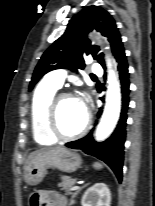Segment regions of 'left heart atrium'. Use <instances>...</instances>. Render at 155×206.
<instances>
[{
	"instance_id": "left-heart-atrium-1",
	"label": "left heart atrium",
	"mask_w": 155,
	"mask_h": 206,
	"mask_svg": "<svg viewBox=\"0 0 155 206\" xmlns=\"http://www.w3.org/2000/svg\"><path fill=\"white\" fill-rule=\"evenodd\" d=\"M81 107L86 111V102L84 98H78Z\"/></svg>"
}]
</instances>
